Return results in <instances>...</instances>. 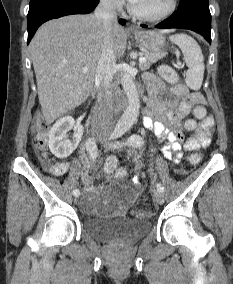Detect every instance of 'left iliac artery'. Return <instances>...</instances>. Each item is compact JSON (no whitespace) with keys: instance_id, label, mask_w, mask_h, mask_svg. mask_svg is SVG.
<instances>
[{"instance_id":"1","label":"left iliac artery","mask_w":233,"mask_h":284,"mask_svg":"<svg viewBox=\"0 0 233 284\" xmlns=\"http://www.w3.org/2000/svg\"><path fill=\"white\" fill-rule=\"evenodd\" d=\"M125 133V130L123 129H116L114 130V132L111 135V139H118L119 137H121L123 134ZM143 141L142 138L138 135H131L125 142H119L117 141L115 144H113L114 148H119L123 145H129L132 147H140L142 145ZM157 190L159 192H163L164 191V187L161 183H157L156 185Z\"/></svg>"}]
</instances>
